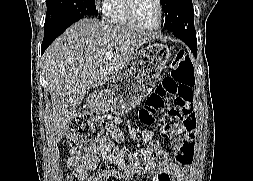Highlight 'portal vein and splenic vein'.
Wrapping results in <instances>:
<instances>
[{
    "label": "portal vein and splenic vein",
    "instance_id": "1",
    "mask_svg": "<svg viewBox=\"0 0 253 181\" xmlns=\"http://www.w3.org/2000/svg\"><path fill=\"white\" fill-rule=\"evenodd\" d=\"M113 56H114V53H113V52H107V53H106V58L111 59Z\"/></svg>",
    "mask_w": 253,
    "mask_h": 181
}]
</instances>
